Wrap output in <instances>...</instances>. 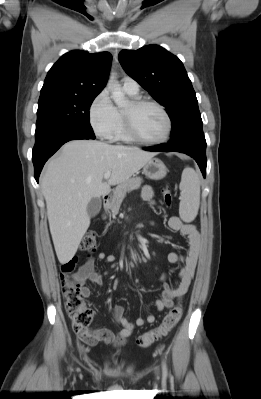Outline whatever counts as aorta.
Returning a JSON list of instances; mask_svg holds the SVG:
<instances>
[{
    "label": "aorta",
    "instance_id": "1",
    "mask_svg": "<svg viewBox=\"0 0 261 399\" xmlns=\"http://www.w3.org/2000/svg\"><path fill=\"white\" fill-rule=\"evenodd\" d=\"M107 87L111 91V98L118 107H125L128 104V100L125 97L124 92L121 89L120 84L116 80L113 73L110 74Z\"/></svg>",
    "mask_w": 261,
    "mask_h": 399
}]
</instances>
